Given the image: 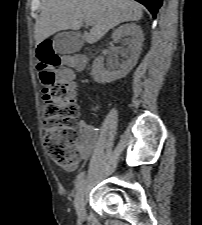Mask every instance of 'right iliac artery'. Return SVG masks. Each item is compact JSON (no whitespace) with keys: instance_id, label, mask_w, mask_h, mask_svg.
I'll list each match as a JSON object with an SVG mask.
<instances>
[{"instance_id":"right-iliac-artery-1","label":"right iliac artery","mask_w":202,"mask_h":225,"mask_svg":"<svg viewBox=\"0 0 202 225\" xmlns=\"http://www.w3.org/2000/svg\"><path fill=\"white\" fill-rule=\"evenodd\" d=\"M84 175H85V173H84V172H81V173L77 176V179H76V188H78L79 184H80L81 181L83 180Z\"/></svg>"}]
</instances>
